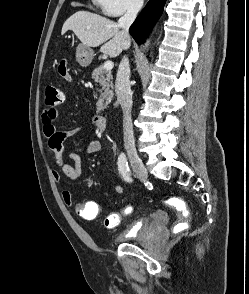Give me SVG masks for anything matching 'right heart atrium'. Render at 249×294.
Segmentation results:
<instances>
[{
	"label": "right heart atrium",
	"mask_w": 249,
	"mask_h": 294,
	"mask_svg": "<svg viewBox=\"0 0 249 294\" xmlns=\"http://www.w3.org/2000/svg\"><path fill=\"white\" fill-rule=\"evenodd\" d=\"M102 12L111 17L137 12L143 5V0H95Z\"/></svg>",
	"instance_id": "d8ad5b80"
}]
</instances>
